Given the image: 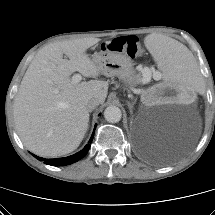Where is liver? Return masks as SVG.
I'll list each match as a JSON object with an SVG mask.
<instances>
[{
	"instance_id": "1",
	"label": "liver",
	"mask_w": 215,
	"mask_h": 215,
	"mask_svg": "<svg viewBox=\"0 0 215 215\" xmlns=\"http://www.w3.org/2000/svg\"><path fill=\"white\" fill-rule=\"evenodd\" d=\"M99 38L50 43L30 63L14 101V120L24 146L42 157H57L78 148L88 128L87 101L103 103L108 83L90 80L74 83V72L96 78L100 70L87 54ZM65 54L68 59H63Z\"/></svg>"
}]
</instances>
